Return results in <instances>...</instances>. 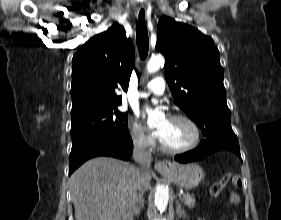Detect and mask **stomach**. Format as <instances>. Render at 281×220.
I'll return each instance as SVG.
<instances>
[{
	"label": "stomach",
	"instance_id": "stomach-1",
	"mask_svg": "<svg viewBox=\"0 0 281 220\" xmlns=\"http://www.w3.org/2000/svg\"><path fill=\"white\" fill-rule=\"evenodd\" d=\"M176 185L184 189L196 187L204 178L203 169L195 163L178 164L172 163L169 171L162 172Z\"/></svg>",
	"mask_w": 281,
	"mask_h": 220
}]
</instances>
